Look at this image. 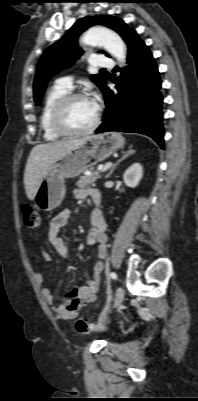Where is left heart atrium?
<instances>
[{"instance_id": "left-heart-atrium-1", "label": "left heart atrium", "mask_w": 198, "mask_h": 401, "mask_svg": "<svg viewBox=\"0 0 198 401\" xmlns=\"http://www.w3.org/2000/svg\"><path fill=\"white\" fill-rule=\"evenodd\" d=\"M91 100L96 106H98V97L97 96L92 97Z\"/></svg>"}]
</instances>
